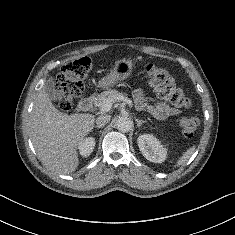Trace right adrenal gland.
<instances>
[{
	"instance_id": "1",
	"label": "right adrenal gland",
	"mask_w": 235,
	"mask_h": 235,
	"mask_svg": "<svg viewBox=\"0 0 235 235\" xmlns=\"http://www.w3.org/2000/svg\"><path fill=\"white\" fill-rule=\"evenodd\" d=\"M95 128H97V129H100V128H103V126H95Z\"/></svg>"
}]
</instances>
